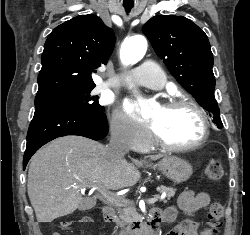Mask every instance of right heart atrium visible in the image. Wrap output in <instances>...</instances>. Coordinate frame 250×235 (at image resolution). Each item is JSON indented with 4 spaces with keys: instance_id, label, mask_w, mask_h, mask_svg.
I'll return each mask as SVG.
<instances>
[{
    "instance_id": "1",
    "label": "right heart atrium",
    "mask_w": 250,
    "mask_h": 235,
    "mask_svg": "<svg viewBox=\"0 0 250 235\" xmlns=\"http://www.w3.org/2000/svg\"><path fill=\"white\" fill-rule=\"evenodd\" d=\"M109 129L113 139L129 149H142L150 143L149 134L120 111L113 112Z\"/></svg>"
}]
</instances>
